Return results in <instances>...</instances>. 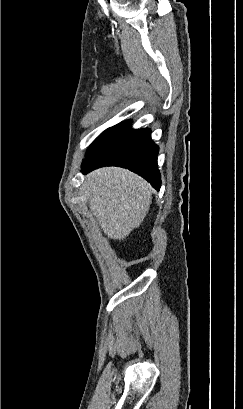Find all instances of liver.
<instances>
[{
  "label": "liver",
  "instance_id": "6515ba94",
  "mask_svg": "<svg viewBox=\"0 0 243 409\" xmlns=\"http://www.w3.org/2000/svg\"><path fill=\"white\" fill-rule=\"evenodd\" d=\"M84 187L101 229L115 240H123L138 228L151 205V185L123 168L97 169L86 176Z\"/></svg>",
  "mask_w": 243,
  "mask_h": 409
}]
</instances>
